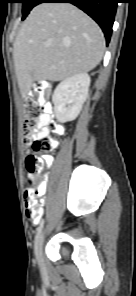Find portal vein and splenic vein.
<instances>
[{
	"instance_id": "1",
	"label": "portal vein and splenic vein",
	"mask_w": 136,
	"mask_h": 296,
	"mask_svg": "<svg viewBox=\"0 0 136 296\" xmlns=\"http://www.w3.org/2000/svg\"><path fill=\"white\" fill-rule=\"evenodd\" d=\"M50 45V43H45V46H49Z\"/></svg>"
}]
</instances>
